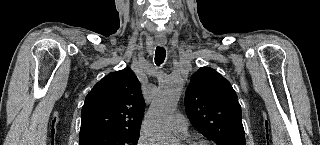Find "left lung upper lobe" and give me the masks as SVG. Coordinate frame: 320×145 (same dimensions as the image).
Masks as SVG:
<instances>
[{
	"label": "left lung upper lobe",
	"mask_w": 320,
	"mask_h": 145,
	"mask_svg": "<svg viewBox=\"0 0 320 145\" xmlns=\"http://www.w3.org/2000/svg\"><path fill=\"white\" fill-rule=\"evenodd\" d=\"M185 110L193 127L217 145H246L237 95L214 69L202 67L192 76Z\"/></svg>",
	"instance_id": "obj_1"
}]
</instances>
